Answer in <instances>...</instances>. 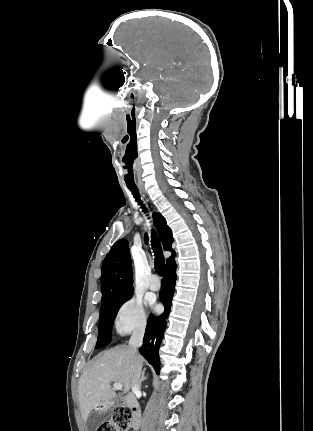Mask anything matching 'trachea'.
I'll return each instance as SVG.
<instances>
[{
    "instance_id": "trachea-1",
    "label": "trachea",
    "mask_w": 313,
    "mask_h": 431,
    "mask_svg": "<svg viewBox=\"0 0 313 431\" xmlns=\"http://www.w3.org/2000/svg\"><path fill=\"white\" fill-rule=\"evenodd\" d=\"M128 188L132 192L136 201L139 202V204H141L138 188L137 187H131V186H128ZM142 207H143V210L146 211V208H144V205H142ZM152 249H153L154 256H155V262H154L155 270L159 276H162L163 271H164V267H165V258L163 256V251H162L160 241L158 240V238L154 232L152 234Z\"/></svg>"
}]
</instances>
